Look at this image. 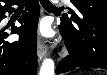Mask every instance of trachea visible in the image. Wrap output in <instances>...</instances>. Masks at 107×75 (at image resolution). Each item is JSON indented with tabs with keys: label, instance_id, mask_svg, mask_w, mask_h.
<instances>
[{
	"label": "trachea",
	"instance_id": "3493384b",
	"mask_svg": "<svg viewBox=\"0 0 107 75\" xmlns=\"http://www.w3.org/2000/svg\"><path fill=\"white\" fill-rule=\"evenodd\" d=\"M41 5L44 8L48 9H58L56 6H54L49 0H40Z\"/></svg>",
	"mask_w": 107,
	"mask_h": 75
}]
</instances>
